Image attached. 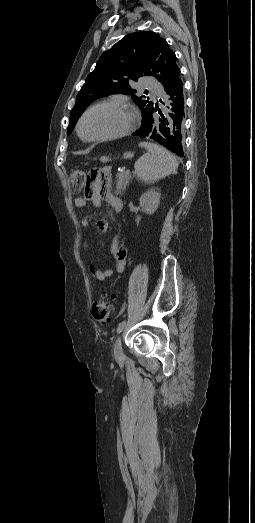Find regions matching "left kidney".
I'll list each match as a JSON object with an SVG mask.
<instances>
[{
    "instance_id": "obj_1",
    "label": "left kidney",
    "mask_w": 255,
    "mask_h": 523,
    "mask_svg": "<svg viewBox=\"0 0 255 523\" xmlns=\"http://www.w3.org/2000/svg\"><path fill=\"white\" fill-rule=\"evenodd\" d=\"M160 196L161 194L156 188L142 194L139 200L142 212H145V214H154L160 204Z\"/></svg>"
}]
</instances>
